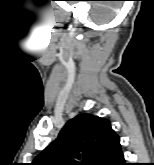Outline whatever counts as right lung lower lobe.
<instances>
[{"label":"right lung lower lobe","mask_w":154,"mask_h":165,"mask_svg":"<svg viewBox=\"0 0 154 165\" xmlns=\"http://www.w3.org/2000/svg\"><path fill=\"white\" fill-rule=\"evenodd\" d=\"M95 165H127L121 152L120 140L117 134L107 144Z\"/></svg>","instance_id":"right-lung-lower-lobe-1"}]
</instances>
